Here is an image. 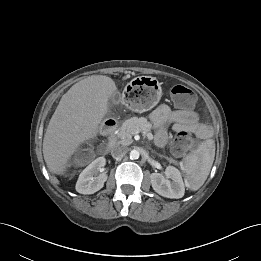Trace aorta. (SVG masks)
<instances>
[{"label":"aorta","mask_w":261,"mask_h":261,"mask_svg":"<svg viewBox=\"0 0 261 261\" xmlns=\"http://www.w3.org/2000/svg\"><path fill=\"white\" fill-rule=\"evenodd\" d=\"M139 156H140V153H139L138 150H135V149L131 150V152H130V159L135 160V159H138Z\"/></svg>","instance_id":"aorta-1"}]
</instances>
